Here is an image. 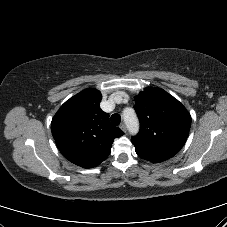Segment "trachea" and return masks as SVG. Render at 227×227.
Returning a JSON list of instances; mask_svg holds the SVG:
<instances>
[{"instance_id":"1","label":"trachea","mask_w":227,"mask_h":227,"mask_svg":"<svg viewBox=\"0 0 227 227\" xmlns=\"http://www.w3.org/2000/svg\"><path fill=\"white\" fill-rule=\"evenodd\" d=\"M111 122L113 125L117 126L121 122V116L119 114H113L111 116Z\"/></svg>"}]
</instances>
